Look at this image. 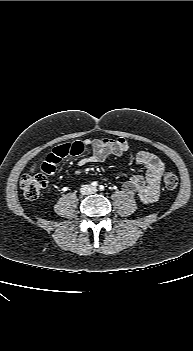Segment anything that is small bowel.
I'll list each match as a JSON object with an SVG mask.
<instances>
[{
    "instance_id": "c3829d8e",
    "label": "small bowel",
    "mask_w": 193,
    "mask_h": 351,
    "mask_svg": "<svg viewBox=\"0 0 193 351\" xmlns=\"http://www.w3.org/2000/svg\"><path fill=\"white\" fill-rule=\"evenodd\" d=\"M86 148H90L92 154L82 157L78 161V167L82 168L88 163L102 162L111 156H122L129 150V143L125 138L115 140L106 138H90L77 140L64 145H55L48 153L42 164L43 171L52 176L56 172L58 163L67 157L83 156ZM136 162L145 169V175L131 176L122 186V190L129 195H136L145 203L154 202L159 194L160 180L165 170L164 162L156 155L140 151L136 154ZM37 168V164L31 166V171Z\"/></svg>"
}]
</instances>
